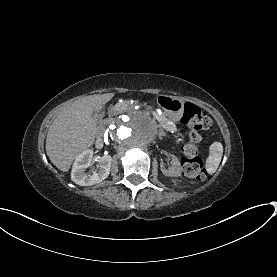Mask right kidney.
Listing matches in <instances>:
<instances>
[{
	"instance_id": "obj_1",
	"label": "right kidney",
	"mask_w": 277,
	"mask_h": 277,
	"mask_svg": "<svg viewBox=\"0 0 277 277\" xmlns=\"http://www.w3.org/2000/svg\"><path fill=\"white\" fill-rule=\"evenodd\" d=\"M93 150L87 149L80 153L72 166L71 180L81 186H91L100 183L109 176L112 158L104 155L100 158L98 171L86 173V169L91 166Z\"/></svg>"
}]
</instances>
